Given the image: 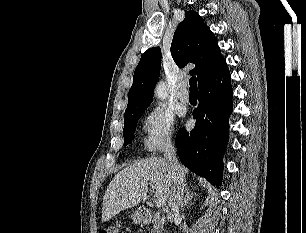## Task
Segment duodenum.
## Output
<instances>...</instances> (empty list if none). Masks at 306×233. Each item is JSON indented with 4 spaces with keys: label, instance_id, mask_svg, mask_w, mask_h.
Listing matches in <instances>:
<instances>
[{
    "label": "duodenum",
    "instance_id": "obj_1",
    "mask_svg": "<svg viewBox=\"0 0 306 233\" xmlns=\"http://www.w3.org/2000/svg\"><path fill=\"white\" fill-rule=\"evenodd\" d=\"M140 215H141V219H142V221H143L144 223H149V222H151L152 217H153L151 211H150L149 209H146V208H142V209L140 210Z\"/></svg>",
    "mask_w": 306,
    "mask_h": 233
}]
</instances>
